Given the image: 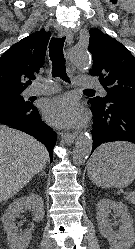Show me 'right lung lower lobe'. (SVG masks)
Wrapping results in <instances>:
<instances>
[{"instance_id":"1","label":"right lung lower lobe","mask_w":135,"mask_h":249,"mask_svg":"<svg viewBox=\"0 0 135 249\" xmlns=\"http://www.w3.org/2000/svg\"><path fill=\"white\" fill-rule=\"evenodd\" d=\"M0 124L19 129L41 141L53 159V148L57 134L40 118L38 109L29 101L0 97Z\"/></svg>"}]
</instances>
